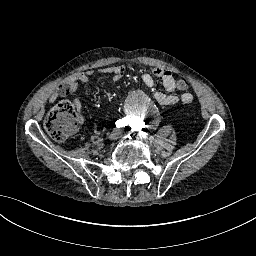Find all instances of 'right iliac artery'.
<instances>
[{
  "label": "right iliac artery",
  "mask_w": 256,
  "mask_h": 256,
  "mask_svg": "<svg viewBox=\"0 0 256 256\" xmlns=\"http://www.w3.org/2000/svg\"><path fill=\"white\" fill-rule=\"evenodd\" d=\"M115 124L117 128L125 127L127 125V120L122 118V119H119Z\"/></svg>",
  "instance_id": "82829eb1"
}]
</instances>
